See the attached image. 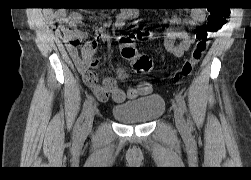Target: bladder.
Instances as JSON below:
<instances>
[{
  "instance_id": "obj_1",
  "label": "bladder",
  "mask_w": 251,
  "mask_h": 180,
  "mask_svg": "<svg viewBox=\"0 0 251 180\" xmlns=\"http://www.w3.org/2000/svg\"><path fill=\"white\" fill-rule=\"evenodd\" d=\"M165 110V100L159 94H152L137 100L112 107L113 117L124 124L138 125L152 122Z\"/></svg>"
}]
</instances>
